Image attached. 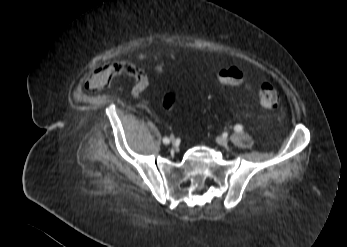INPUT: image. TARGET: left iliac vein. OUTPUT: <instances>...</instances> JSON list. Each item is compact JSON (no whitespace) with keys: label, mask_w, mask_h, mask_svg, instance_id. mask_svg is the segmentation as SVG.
<instances>
[{"label":"left iliac vein","mask_w":347,"mask_h":247,"mask_svg":"<svg viewBox=\"0 0 347 247\" xmlns=\"http://www.w3.org/2000/svg\"><path fill=\"white\" fill-rule=\"evenodd\" d=\"M216 142L221 146H227L228 145V139L225 137H217Z\"/></svg>","instance_id":"obj_1"}]
</instances>
